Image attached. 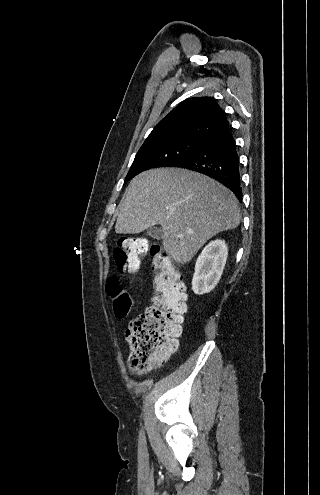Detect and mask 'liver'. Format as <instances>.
Wrapping results in <instances>:
<instances>
[{
  "mask_svg": "<svg viewBox=\"0 0 320 495\" xmlns=\"http://www.w3.org/2000/svg\"><path fill=\"white\" fill-rule=\"evenodd\" d=\"M162 226L165 251L189 262L219 232L240 224L238 199L217 181L185 169L145 171L130 183L118 213L115 232L137 234Z\"/></svg>",
  "mask_w": 320,
  "mask_h": 495,
  "instance_id": "obj_1",
  "label": "liver"
}]
</instances>
